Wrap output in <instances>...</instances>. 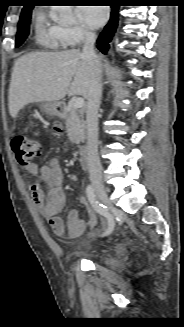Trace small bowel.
I'll list each match as a JSON object with an SVG mask.
<instances>
[{
    "mask_svg": "<svg viewBox=\"0 0 184 327\" xmlns=\"http://www.w3.org/2000/svg\"><path fill=\"white\" fill-rule=\"evenodd\" d=\"M33 135L39 136L40 131L34 130ZM25 170L32 176H39L43 182V185L33 183L30 186V193L34 205L49 221L53 232L58 236L67 234L71 238L80 237L87 224L79 217L78 212L70 211L66 221L60 216L66 208L67 197L62 187L64 174L57 159L48 160L41 168L31 163L25 166Z\"/></svg>",
    "mask_w": 184,
    "mask_h": 327,
    "instance_id": "small-bowel-1",
    "label": "small bowel"
}]
</instances>
